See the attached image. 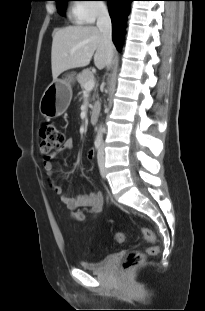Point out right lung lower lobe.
<instances>
[{
    "instance_id": "obj_1",
    "label": "right lung lower lobe",
    "mask_w": 205,
    "mask_h": 311,
    "mask_svg": "<svg viewBox=\"0 0 205 311\" xmlns=\"http://www.w3.org/2000/svg\"><path fill=\"white\" fill-rule=\"evenodd\" d=\"M109 14L112 20V37L118 51L121 50L127 15L130 9V3L133 0H108Z\"/></svg>"
}]
</instances>
